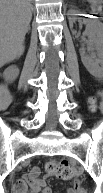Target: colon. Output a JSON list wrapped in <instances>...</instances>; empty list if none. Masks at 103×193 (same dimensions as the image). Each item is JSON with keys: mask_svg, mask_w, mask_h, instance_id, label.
Here are the masks:
<instances>
[{"mask_svg": "<svg viewBox=\"0 0 103 193\" xmlns=\"http://www.w3.org/2000/svg\"><path fill=\"white\" fill-rule=\"evenodd\" d=\"M91 108L96 110V97L90 99ZM49 174L55 175L63 180H70L78 176V170L75 166L69 164L67 161H48L45 166Z\"/></svg>", "mask_w": 103, "mask_h": 193, "instance_id": "5ec220e1", "label": "colon"}]
</instances>
